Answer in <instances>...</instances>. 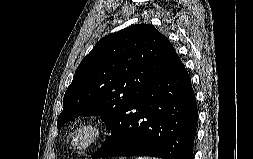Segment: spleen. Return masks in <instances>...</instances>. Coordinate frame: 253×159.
I'll use <instances>...</instances> for the list:
<instances>
[{
	"instance_id": "3e777b00",
	"label": "spleen",
	"mask_w": 253,
	"mask_h": 159,
	"mask_svg": "<svg viewBox=\"0 0 253 159\" xmlns=\"http://www.w3.org/2000/svg\"><path fill=\"white\" fill-rule=\"evenodd\" d=\"M136 159H159V158H150V157H137Z\"/></svg>"
}]
</instances>
